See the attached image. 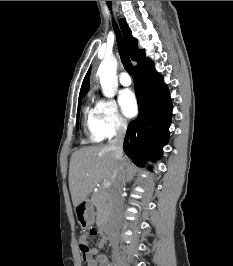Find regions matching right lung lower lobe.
<instances>
[{"label":"right lung lower lobe","mask_w":233,"mask_h":266,"mask_svg":"<svg viewBox=\"0 0 233 266\" xmlns=\"http://www.w3.org/2000/svg\"><path fill=\"white\" fill-rule=\"evenodd\" d=\"M134 70L139 116L128 125L123 149L136 165L143 166L149 158L162 155L169 138L172 103L150 59Z\"/></svg>","instance_id":"1"}]
</instances>
